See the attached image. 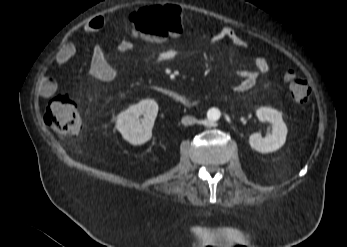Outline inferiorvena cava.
<instances>
[{"label": "inferior vena cava", "instance_id": "inferior-vena-cava-1", "mask_svg": "<svg viewBox=\"0 0 347 247\" xmlns=\"http://www.w3.org/2000/svg\"><path fill=\"white\" fill-rule=\"evenodd\" d=\"M181 122L184 125H192L196 123V119L192 116H185L182 118Z\"/></svg>", "mask_w": 347, "mask_h": 247}]
</instances>
